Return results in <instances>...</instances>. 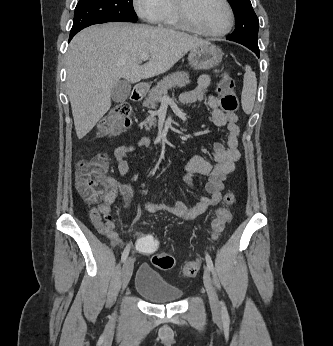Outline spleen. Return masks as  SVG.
Segmentation results:
<instances>
[{"label": "spleen", "mask_w": 333, "mask_h": 346, "mask_svg": "<svg viewBox=\"0 0 333 346\" xmlns=\"http://www.w3.org/2000/svg\"><path fill=\"white\" fill-rule=\"evenodd\" d=\"M257 91V79L255 73L249 65L245 67L243 90L241 103L245 113L249 114L253 110L255 96Z\"/></svg>", "instance_id": "spleen-1"}]
</instances>
